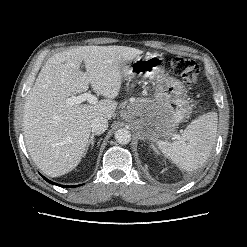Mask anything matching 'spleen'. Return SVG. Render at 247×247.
<instances>
[{"mask_svg": "<svg viewBox=\"0 0 247 247\" xmlns=\"http://www.w3.org/2000/svg\"><path fill=\"white\" fill-rule=\"evenodd\" d=\"M217 113L208 112L193 120L178 140L157 141L158 148L179 168L194 171L209 158L217 135Z\"/></svg>", "mask_w": 247, "mask_h": 247, "instance_id": "1", "label": "spleen"}]
</instances>
